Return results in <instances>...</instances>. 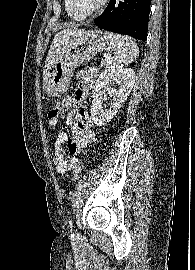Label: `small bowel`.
<instances>
[{"mask_svg": "<svg viewBox=\"0 0 195 270\" xmlns=\"http://www.w3.org/2000/svg\"><path fill=\"white\" fill-rule=\"evenodd\" d=\"M97 77V71L88 69L84 71L79 79L78 86L73 95L67 96L62 100L65 108L78 107L86 99L88 92ZM64 122L71 126L72 137L66 132H59L54 146V165L57 172L61 175L73 170L78 164L77 156L95 138L92 128V120L85 107L70 112ZM60 123L59 118L49 119V125L56 128ZM67 145V150L65 148ZM69 152V155L67 154Z\"/></svg>", "mask_w": 195, "mask_h": 270, "instance_id": "1", "label": "small bowel"}]
</instances>
